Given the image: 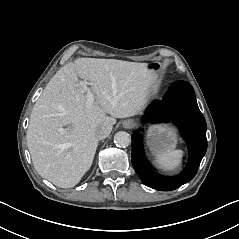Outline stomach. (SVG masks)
<instances>
[{
  "mask_svg": "<svg viewBox=\"0 0 239 239\" xmlns=\"http://www.w3.org/2000/svg\"><path fill=\"white\" fill-rule=\"evenodd\" d=\"M177 140L176 130L168 125H153L146 132L147 147L155 158L167 150L174 149Z\"/></svg>",
  "mask_w": 239,
  "mask_h": 239,
  "instance_id": "obj_1",
  "label": "stomach"
}]
</instances>
